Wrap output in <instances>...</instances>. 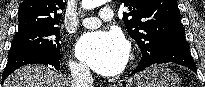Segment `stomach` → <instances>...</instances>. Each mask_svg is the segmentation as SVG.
Listing matches in <instances>:
<instances>
[{"mask_svg": "<svg viewBox=\"0 0 205 87\" xmlns=\"http://www.w3.org/2000/svg\"><path fill=\"white\" fill-rule=\"evenodd\" d=\"M179 77L171 70L152 66L135 74L126 87H180Z\"/></svg>", "mask_w": 205, "mask_h": 87, "instance_id": "obj_1", "label": "stomach"}]
</instances>
